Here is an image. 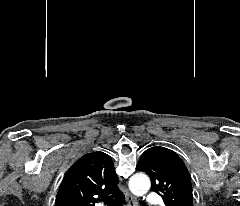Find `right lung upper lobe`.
I'll list each match as a JSON object with an SVG mask.
<instances>
[{
  "label": "right lung upper lobe",
  "instance_id": "cb5924a9",
  "mask_svg": "<svg viewBox=\"0 0 240 206\" xmlns=\"http://www.w3.org/2000/svg\"><path fill=\"white\" fill-rule=\"evenodd\" d=\"M111 157L103 152L82 156L65 174L55 206H95L100 198L122 195Z\"/></svg>",
  "mask_w": 240,
  "mask_h": 206
}]
</instances>
